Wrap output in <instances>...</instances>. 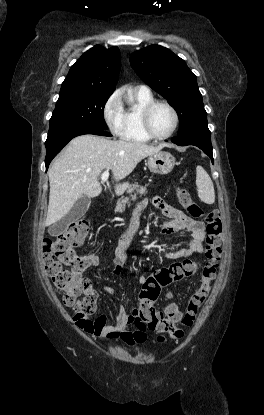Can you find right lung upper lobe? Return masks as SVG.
Segmentation results:
<instances>
[{"label": "right lung upper lobe", "instance_id": "cb5924a9", "mask_svg": "<svg viewBox=\"0 0 264 415\" xmlns=\"http://www.w3.org/2000/svg\"><path fill=\"white\" fill-rule=\"evenodd\" d=\"M121 67L118 47L100 45L85 52L70 68L60 95L112 94Z\"/></svg>", "mask_w": 264, "mask_h": 415}]
</instances>
